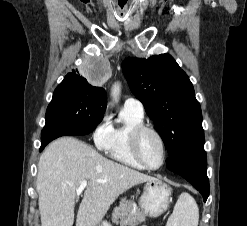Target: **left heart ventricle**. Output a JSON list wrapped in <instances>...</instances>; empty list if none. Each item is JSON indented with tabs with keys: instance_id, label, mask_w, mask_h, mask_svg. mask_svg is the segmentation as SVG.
<instances>
[{
	"instance_id": "b2bd125f",
	"label": "left heart ventricle",
	"mask_w": 247,
	"mask_h": 226,
	"mask_svg": "<svg viewBox=\"0 0 247 226\" xmlns=\"http://www.w3.org/2000/svg\"><path fill=\"white\" fill-rule=\"evenodd\" d=\"M139 152L150 166H156L162 159V148L158 138L151 132H145L139 139Z\"/></svg>"
}]
</instances>
